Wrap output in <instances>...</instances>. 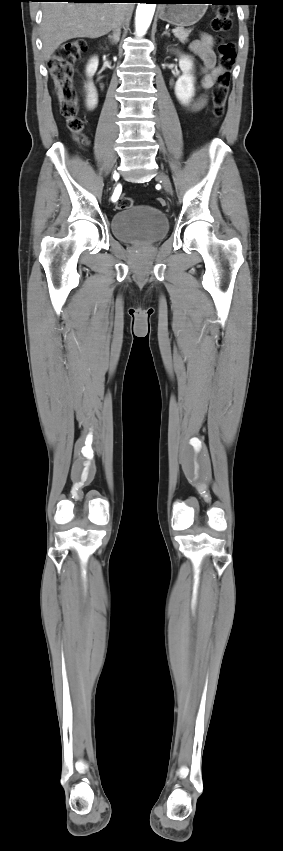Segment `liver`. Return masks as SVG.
<instances>
[{
	"mask_svg": "<svg viewBox=\"0 0 283 851\" xmlns=\"http://www.w3.org/2000/svg\"><path fill=\"white\" fill-rule=\"evenodd\" d=\"M124 8L128 20L134 8L132 3L46 2L41 23L44 60L48 61L55 50L70 39H95L106 35Z\"/></svg>",
	"mask_w": 283,
	"mask_h": 851,
	"instance_id": "liver-1",
	"label": "liver"
}]
</instances>
